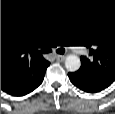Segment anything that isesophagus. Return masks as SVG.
Returning <instances> with one entry per match:
<instances>
[{
	"label": "esophagus",
	"mask_w": 115,
	"mask_h": 114,
	"mask_svg": "<svg viewBox=\"0 0 115 114\" xmlns=\"http://www.w3.org/2000/svg\"><path fill=\"white\" fill-rule=\"evenodd\" d=\"M56 60L59 62H63L65 60V56L64 55H57Z\"/></svg>",
	"instance_id": "obj_1"
}]
</instances>
